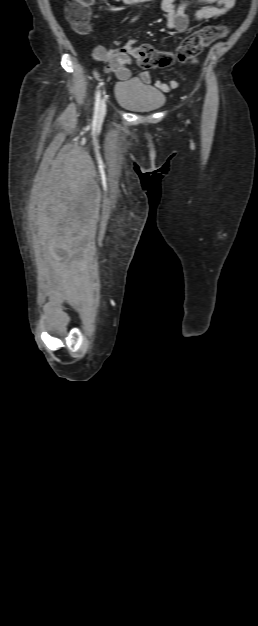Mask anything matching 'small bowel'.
I'll return each instance as SVG.
<instances>
[{"instance_id": "c3829d8e", "label": "small bowel", "mask_w": 258, "mask_h": 626, "mask_svg": "<svg viewBox=\"0 0 258 626\" xmlns=\"http://www.w3.org/2000/svg\"><path fill=\"white\" fill-rule=\"evenodd\" d=\"M236 0H181L177 5V0H163L162 10L166 15L167 27L184 33L190 23V18L186 10L192 5H198L194 13L197 21L210 20L220 17L233 8ZM101 59L107 64V71L114 73L120 80H126L130 76L127 67L129 57L124 49L100 50ZM195 62V59L192 60ZM141 79L145 83L151 82L149 72H143ZM179 83L171 80L169 83L156 81L155 86L162 92H169L177 88Z\"/></svg>"}]
</instances>
